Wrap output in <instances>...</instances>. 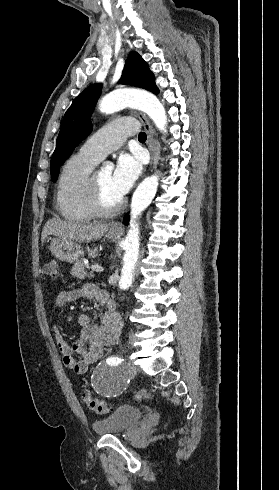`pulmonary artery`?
Instances as JSON below:
<instances>
[{
  "mask_svg": "<svg viewBox=\"0 0 279 490\" xmlns=\"http://www.w3.org/2000/svg\"><path fill=\"white\" fill-rule=\"evenodd\" d=\"M139 128V123L134 122L132 117H115L114 122H109L93 132L82 144L79 152L99 162L107 154L119 148L125 138Z\"/></svg>",
  "mask_w": 279,
  "mask_h": 490,
  "instance_id": "pulmonary-artery-1",
  "label": "pulmonary artery"
}]
</instances>
